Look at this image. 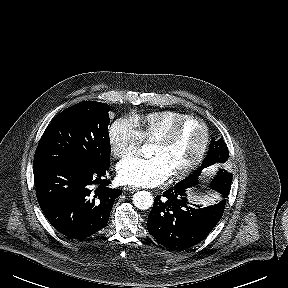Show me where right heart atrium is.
Segmentation results:
<instances>
[{
    "label": "right heart atrium",
    "instance_id": "1",
    "mask_svg": "<svg viewBox=\"0 0 288 288\" xmlns=\"http://www.w3.org/2000/svg\"><path fill=\"white\" fill-rule=\"evenodd\" d=\"M108 140L112 154L124 158L139 151L143 137L133 118H121L109 128Z\"/></svg>",
    "mask_w": 288,
    "mask_h": 288
}]
</instances>
